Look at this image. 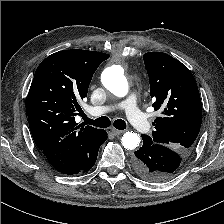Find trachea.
<instances>
[{"mask_svg":"<svg viewBox=\"0 0 224 224\" xmlns=\"http://www.w3.org/2000/svg\"><path fill=\"white\" fill-rule=\"evenodd\" d=\"M82 118L84 120V123L85 124H90V125H93V126H96V127H100V128H107L110 126L111 124V121L108 117L106 116H102V117H99L95 120L93 119H90L88 118L84 113L82 114ZM113 126L116 128V129H119V130H124L126 129V123L124 120L122 119H117L114 121V124Z\"/></svg>","mask_w":224,"mask_h":224,"instance_id":"obj_1","label":"trachea"}]
</instances>
